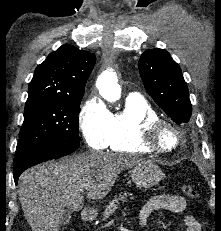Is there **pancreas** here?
I'll return each mask as SVG.
<instances>
[{
	"label": "pancreas",
	"mask_w": 221,
	"mask_h": 231,
	"mask_svg": "<svg viewBox=\"0 0 221 231\" xmlns=\"http://www.w3.org/2000/svg\"><path fill=\"white\" fill-rule=\"evenodd\" d=\"M128 194L123 193L119 194V196H115L113 200L109 202V205L106 206L105 211L103 212V221H106L118 208L119 201L127 202Z\"/></svg>",
	"instance_id": "cf45deb5"
}]
</instances>
